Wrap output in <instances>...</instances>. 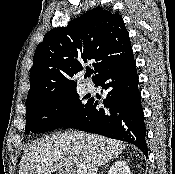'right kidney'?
Instances as JSON below:
<instances>
[{"instance_id": "obj_1", "label": "right kidney", "mask_w": 175, "mask_h": 174, "mask_svg": "<svg viewBox=\"0 0 175 174\" xmlns=\"http://www.w3.org/2000/svg\"><path fill=\"white\" fill-rule=\"evenodd\" d=\"M108 174H131V172L126 161L119 160L110 167Z\"/></svg>"}]
</instances>
